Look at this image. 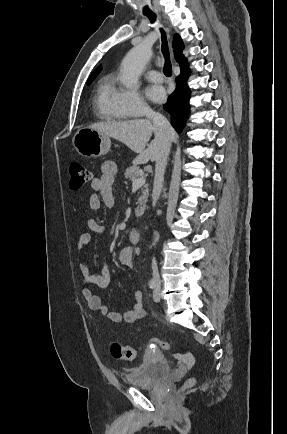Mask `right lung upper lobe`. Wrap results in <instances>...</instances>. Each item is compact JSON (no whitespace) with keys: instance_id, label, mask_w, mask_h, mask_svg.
<instances>
[{"instance_id":"1","label":"right lung upper lobe","mask_w":287,"mask_h":434,"mask_svg":"<svg viewBox=\"0 0 287 434\" xmlns=\"http://www.w3.org/2000/svg\"><path fill=\"white\" fill-rule=\"evenodd\" d=\"M173 47H174V53H175V58L176 60L181 64L186 62V58L182 55V50L184 48V44L183 41L181 39V37L176 34L173 38ZM101 68L96 69L91 76L88 79V82L93 81L97 75L100 73Z\"/></svg>"}]
</instances>
